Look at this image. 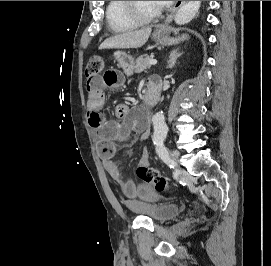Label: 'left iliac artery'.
Returning <instances> with one entry per match:
<instances>
[{"instance_id":"obj_1","label":"left iliac artery","mask_w":271,"mask_h":266,"mask_svg":"<svg viewBox=\"0 0 271 266\" xmlns=\"http://www.w3.org/2000/svg\"><path fill=\"white\" fill-rule=\"evenodd\" d=\"M156 152L159 157L170 167L173 168L175 166L174 162L170 159L168 150L165 146V140L161 139L155 142Z\"/></svg>"}]
</instances>
